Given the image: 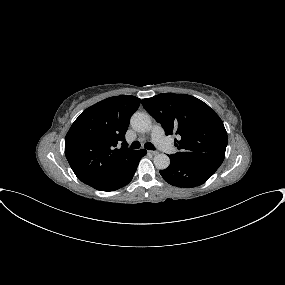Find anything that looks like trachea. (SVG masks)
<instances>
[{
	"label": "trachea",
	"mask_w": 285,
	"mask_h": 285,
	"mask_svg": "<svg viewBox=\"0 0 285 285\" xmlns=\"http://www.w3.org/2000/svg\"><path fill=\"white\" fill-rule=\"evenodd\" d=\"M144 147H145L146 149H148V150H155L154 145H153L152 143H150V142L145 143ZM130 148H132V149H138V148H140V143H139L138 141H134V142L131 144Z\"/></svg>",
	"instance_id": "obj_1"
}]
</instances>
